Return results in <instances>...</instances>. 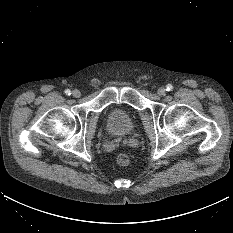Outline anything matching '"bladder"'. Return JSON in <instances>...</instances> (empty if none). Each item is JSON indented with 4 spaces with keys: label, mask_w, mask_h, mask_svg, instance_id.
<instances>
[{
    "label": "bladder",
    "mask_w": 233,
    "mask_h": 233,
    "mask_svg": "<svg viewBox=\"0 0 233 233\" xmlns=\"http://www.w3.org/2000/svg\"><path fill=\"white\" fill-rule=\"evenodd\" d=\"M107 127L112 136L122 137L134 128L132 115L121 107H113L107 115Z\"/></svg>",
    "instance_id": "bladder-1"
}]
</instances>
